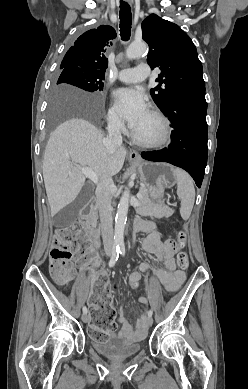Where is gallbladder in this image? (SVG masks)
<instances>
[{
	"label": "gallbladder",
	"instance_id": "gallbladder-1",
	"mask_svg": "<svg viewBox=\"0 0 248 389\" xmlns=\"http://www.w3.org/2000/svg\"><path fill=\"white\" fill-rule=\"evenodd\" d=\"M90 195L89 186L85 185L82 190L80 191L77 198L74 200L73 203H71L68 207L63 209L57 216L56 221L58 224H62L63 222L68 219L69 222H72L76 215L78 210L86 203Z\"/></svg>",
	"mask_w": 248,
	"mask_h": 389
}]
</instances>
